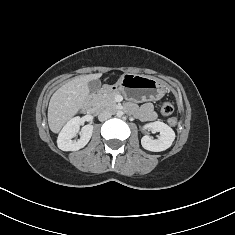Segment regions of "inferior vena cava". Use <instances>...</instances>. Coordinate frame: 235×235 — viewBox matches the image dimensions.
<instances>
[{"mask_svg":"<svg viewBox=\"0 0 235 235\" xmlns=\"http://www.w3.org/2000/svg\"><path fill=\"white\" fill-rule=\"evenodd\" d=\"M112 113L109 110H103L99 113L98 119L100 121H105L111 117Z\"/></svg>","mask_w":235,"mask_h":235,"instance_id":"obj_1","label":"inferior vena cava"}]
</instances>
